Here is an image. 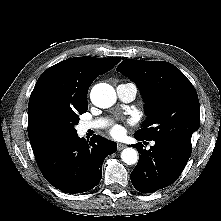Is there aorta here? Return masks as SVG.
I'll return each mask as SVG.
<instances>
[{
  "label": "aorta",
  "mask_w": 221,
  "mask_h": 221,
  "mask_svg": "<svg viewBox=\"0 0 221 221\" xmlns=\"http://www.w3.org/2000/svg\"><path fill=\"white\" fill-rule=\"evenodd\" d=\"M90 99L97 107L108 108L115 104L116 92L111 85L99 83L92 88ZM121 159L127 165H134L138 162V152L134 148L127 147L121 152Z\"/></svg>",
  "instance_id": "762f6f07"
}]
</instances>
